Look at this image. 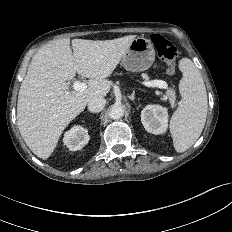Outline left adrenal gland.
<instances>
[{"label":"left adrenal gland","mask_w":232,"mask_h":232,"mask_svg":"<svg viewBox=\"0 0 232 232\" xmlns=\"http://www.w3.org/2000/svg\"><path fill=\"white\" fill-rule=\"evenodd\" d=\"M129 99L131 101H134L135 100V93L133 92L132 95L129 96Z\"/></svg>","instance_id":"left-adrenal-gland-1"}]
</instances>
